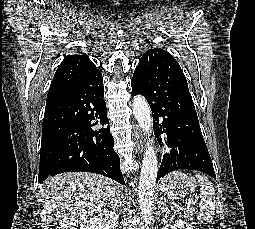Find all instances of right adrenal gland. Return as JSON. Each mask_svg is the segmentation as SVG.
Instances as JSON below:
<instances>
[{"label":"right adrenal gland","mask_w":255,"mask_h":229,"mask_svg":"<svg viewBox=\"0 0 255 229\" xmlns=\"http://www.w3.org/2000/svg\"><path fill=\"white\" fill-rule=\"evenodd\" d=\"M121 206H122V202L120 201V200H116V203L111 207V209H113V210H120V208H121Z\"/></svg>","instance_id":"1"}]
</instances>
